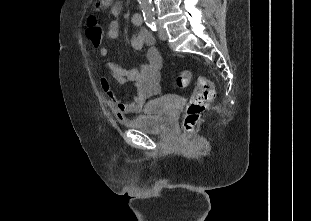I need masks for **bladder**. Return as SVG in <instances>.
I'll list each match as a JSON object with an SVG mask.
<instances>
[{
  "label": "bladder",
  "instance_id": "31cf9c89",
  "mask_svg": "<svg viewBox=\"0 0 311 221\" xmlns=\"http://www.w3.org/2000/svg\"><path fill=\"white\" fill-rule=\"evenodd\" d=\"M150 102H152L151 108H144L143 113L130 117L125 122V126L140 130L144 134H161L166 132L173 122L168 99L156 97L150 100Z\"/></svg>",
  "mask_w": 311,
  "mask_h": 221
}]
</instances>
